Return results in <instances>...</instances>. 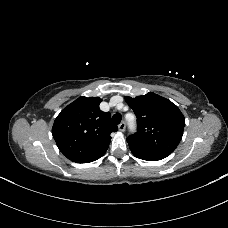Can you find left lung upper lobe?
Wrapping results in <instances>:
<instances>
[{"label":"left lung upper lobe","mask_w":228,"mask_h":228,"mask_svg":"<svg viewBox=\"0 0 228 228\" xmlns=\"http://www.w3.org/2000/svg\"><path fill=\"white\" fill-rule=\"evenodd\" d=\"M137 117V132L127 138L130 147L171 154L179 144L185 118L170 100L152 92L125 97Z\"/></svg>","instance_id":"5c2ea615"}]
</instances>
